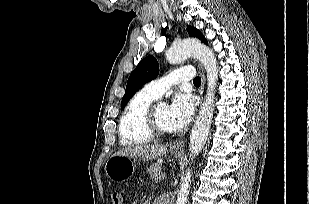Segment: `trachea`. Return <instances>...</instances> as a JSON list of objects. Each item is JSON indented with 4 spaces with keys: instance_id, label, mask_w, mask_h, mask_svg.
I'll return each instance as SVG.
<instances>
[{
    "instance_id": "obj_1",
    "label": "trachea",
    "mask_w": 309,
    "mask_h": 204,
    "mask_svg": "<svg viewBox=\"0 0 309 204\" xmlns=\"http://www.w3.org/2000/svg\"><path fill=\"white\" fill-rule=\"evenodd\" d=\"M194 84H201V78L200 77H195V79L193 80Z\"/></svg>"
}]
</instances>
